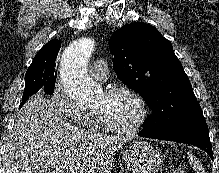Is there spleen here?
<instances>
[{
    "label": "spleen",
    "mask_w": 219,
    "mask_h": 173,
    "mask_svg": "<svg viewBox=\"0 0 219 173\" xmlns=\"http://www.w3.org/2000/svg\"><path fill=\"white\" fill-rule=\"evenodd\" d=\"M195 158L193 156H190V162L194 165V168L197 170V171H202V168L197 164L195 163ZM199 173V172H197Z\"/></svg>",
    "instance_id": "3e777b00"
}]
</instances>
